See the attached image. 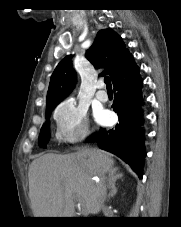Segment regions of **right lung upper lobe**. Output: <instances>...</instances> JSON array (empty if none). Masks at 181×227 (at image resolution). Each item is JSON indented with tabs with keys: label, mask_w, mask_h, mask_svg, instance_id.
Wrapping results in <instances>:
<instances>
[{
	"label": "right lung upper lobe",
	"mask_w": 181,
	"mask_h": 227,
	"mask_svg": "<svg viewBox=\"0 0 181 227\" xmlns=\"http://www.w3.org/2000/svg\"><path fill=\"white\" fill-rule=\"evenodd\" d=\"M129 55L121 37L110 29L100 30L94 43L86 52V58L94 67L106 68L104 73L109 74L112 81ZM71 58L72 55L66 56L55 68L48 88L46 107L57 105L74 87L76 72Z\"/></svg>",
	"instance_id": "right-lung-upper-lobe-1"
}]
</instances>
